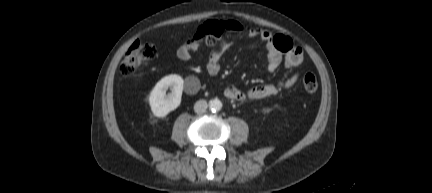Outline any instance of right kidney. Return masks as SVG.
Segmentation results:
<instances>
[{
    "mask_svg": "<svg viewBox=\"0 0 432 193\" xmlns=\"http://www.w3.org/2000/svg\"><path fill=\"white\" fill-rule=\"evenodd\" d=\"M183 83L182 77L177 74L165 76L157 82L149 96V105L154 116L166 117L180 105ZM168 89H171V93L166 94Z\"/></svg>",
    "mask_w": 432,
    "mask_h": 193,
    "instance_id": "1",
    "label": "right kidney"
}]
</instances>
